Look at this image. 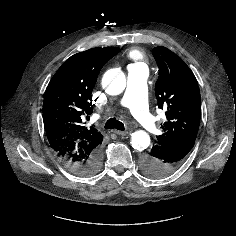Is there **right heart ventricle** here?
Instances as JSON below:
<instances>
[{
	"instance_id": "obj_1",
	"label": "right heart ventricle",
	"mask_w": 236,
	"mask_h": 236,
	"mask_svg": "<svg viewBox=\"0 0 236 236\" xmlns=\"http://www.w3.org/2000/svg\"><path fill=\"white\" fill-rule=\"evenodd\" d=\"M129 56L130 58L135 59V60H139L143 57L142 53L137 50L132 51Z\"/></svg>"
}]
</instances>
